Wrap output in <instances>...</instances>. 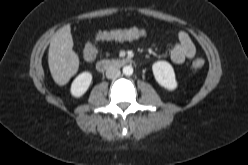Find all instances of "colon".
I'll return each mask as SVG.
<instances>
[{
	"instance_id": "colon-1",
	"label": "colon",
	"mask_w": 248,
	"mask_h": 165,
	"mask_svg": "<svg viewBox=\"0 0 248 165\" xmlns=\"http://www.w3.org/2000/svg\"><path fill=\"white\" fill-rule=\"evenodd\" d=\"M133 31L115 29V30H103L97 32L93 40L94 42L106 40V39H125L134 36ZM97 56V50L95 44L86 45L83 51V57L86 61H93ZM204 66V60L201 58L195 59L191 67L193 70H200Z\"/></svg>"
}]
</instances>
